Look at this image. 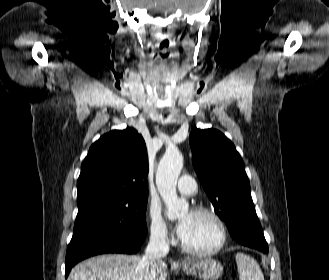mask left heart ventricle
<instances>
[{
  "mask_svg": "<svg viewBox=\"0 0 329 280\" xmlns=\"http://www.w3.org/2000/svg\"><path fill=\"white\" fill-rule=\"evenodd\" d=\"M187 220L186 229L181 239L190 247L208 249L213 247L219 238V231L212 219L205 215L185 212L181 220Z\"/></svg>",
  "mask_w": 329,
  "mask_h": 280,
  "instance_id": "left-heart-ventricle-1",
  "label": "left heart ventricle"
}]
</instances>
